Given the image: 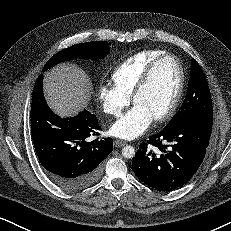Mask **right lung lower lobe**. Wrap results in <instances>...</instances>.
Instances as JSON below:
<instances>
[{"label":"right lung lower lobe","mask_w":231,"mask_h":231,"mask_svg":"<svg viewBox=\"0 0 231 231\" xmlns=\"http://www.w3.org/2000/svg\"><path fill=\"white\" fill-rule=\"evenodd\" d=\"M43 75H39L31 103V133L35 151L47 177L66 191L93 184L101 175L103 160L113 150L111 138L92 141L101 127L87 110L73 118L57 116L43 95Z\"/></svg>","instance_id":"obj_1"}]
</instances>
